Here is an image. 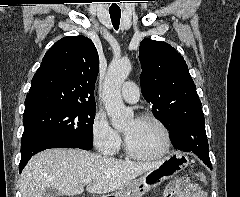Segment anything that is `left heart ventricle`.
I'll use <instances>...</instances> for the list:
<instances>
[{"mask_svg":"<svg viewBox=\"0 0 240 197\" xmlns=\"http://www.w3.org/2000/svg\"><path fill=\"white\" fill-rule=\"evenodd\" d=\"M123 133L130 147L139 154H155L164 146L162 130L151 121L131 120Z\"/></svg>","mask_w":240,"mask_h":197,"instance_id":"1","label":"left heart ventricle"}]
</instances>
